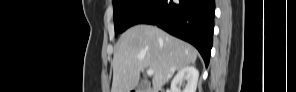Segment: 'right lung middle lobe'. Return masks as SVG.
Listing matches in <instances>:
<instances>
[{"instance_id":"dd1d6c3e","label":"right lung middle lobe","mask_w":296,"mask_h":92,"mask_svg":"<svg viewBox=\"0 0 296 92\" xmlns=\"http://www.w3.org/2000/svg\"><path fill=\"white\" fill-rule=\"evenodd\" d=\"M160 0H113L115 35L138 24Z\"/></svg>"}]
</instances>
